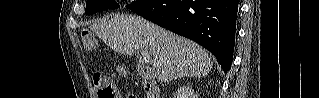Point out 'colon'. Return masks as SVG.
<instances>
[{
    "instance_id": "5ec220e1",
    "label": "colon",
    "mask_w": 319,
    "mask_h": 98,
    "mask_svg": "<svg viewBox=\"0 0 319 98\" xmlns=\"http://www.w3.org/2000/svg\"><path fill=\"white\" fill-rule=\"evenodd\" d=\"M83 46L88 51L96 49V42L90 30L85 29L81 32ZM94 85L98 91L99 98H118L119 95L113 85L112 80L106 75L96 73L94 75Z\"/></svg>"
}]
</instances>
